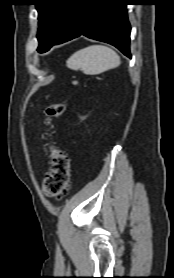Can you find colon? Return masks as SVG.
<instances>
[{"label":"colon","instance_id":"obj_1","mask_svg":"<svg viewBox=\"0 0 174 278\" xmlns=\"http://www.w3.org/2000/svg\"><path fill=\"white\" fill-rule=\"evenodd\" d=\"M65 111L63 104H50L45 108L49 118L61 116ZM50 169L43 181V191L51 198H62L70 188V158L55 144L49 146Z\"/></svg>","mask_w":174,"mask_h":278}]
</instances>
